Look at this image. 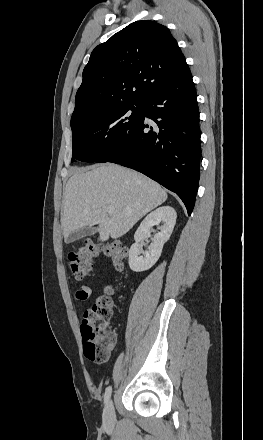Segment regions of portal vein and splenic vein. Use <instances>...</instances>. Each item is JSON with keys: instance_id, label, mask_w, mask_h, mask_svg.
I'll use <instances>...</instances> for the list:
<instances>
[{"instance_id": "obj_1", "label": "portal vein and splenic vein", "mask_w": 263, "mask_h": 440, "mask_svg": "<svg viewBox=\"0 0 263 440\" xmlns=\"http://www.w3.org/2000/svg\"><path fill=\"white\" fill-rule=\"evenodd\" d=\"M107 210H108L109 213H111V212L114 210V207H113V206H109V207L107 208Z\"/></svg>"}]
</instances>
